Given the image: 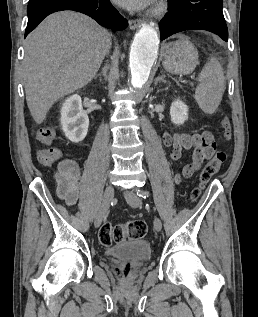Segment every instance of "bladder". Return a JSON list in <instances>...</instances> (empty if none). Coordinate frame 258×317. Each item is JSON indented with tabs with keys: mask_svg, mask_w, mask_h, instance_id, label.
Wrapping results in <instances>:
<instances>
[{
	"mask_svg": "<svg viewBox=\"0 0 258 317\" xmlns=\"http://www.w3.org/2000/svg\"><path fill=\"white\" fill-rule=\"evenodd\" d=\"M105 255L111 258L141 262L150 258L151 247L147 241L135 239L106 249Z\"/></svg>",
	"mask_w": 258,
	"mask_h": 317,
	"instance_id": "1",
	"label": "bladder"
}]
</instances>
